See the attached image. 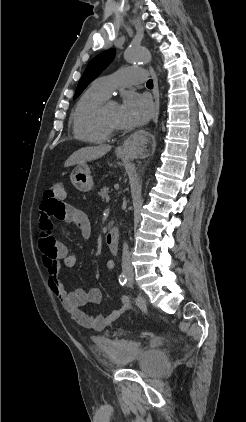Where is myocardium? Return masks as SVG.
Here are the masks:
<instances>
[{"label": "myocardium", "mask_w": 246, "mask_h": 422, "mask_svg": "<svg viewBox=\"0 0 246 422\" xmlns=\"http://www.w3.org/2000/svg\"><path fill=\"white\" fill-rule=\"evenodd\" d=\"M110 101H105L99 110V118L102 126L109 132L114 133L119 130V128L109 122L106 117V108L110 104Z\"/></svg>", "instance_id": "f54148a6"}]
</instances>
